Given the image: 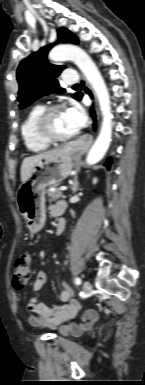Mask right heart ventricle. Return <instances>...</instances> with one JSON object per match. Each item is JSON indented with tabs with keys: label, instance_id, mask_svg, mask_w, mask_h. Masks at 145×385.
I'll use <instances>...</instances> for the list:
<instances>
[{
	"label": "right heart ventricle",
	"instance_id": "right-heart-ventricle-1",
	"mask_svg": "<svg viewBox=\"0 0 145 385\" xmlns=\"http://www.w3.org/2000/svg\"><path fill=\"white\" fill-rule=\"evenodd\" d=\"M44 106L35 105L27 113L21 124V136L26 149L30 152H41L48 148L49 143L42 140L36 132L35 125Z\"/></svg>",
	"mask_w": 145,
	"mask_h": 385
}]
</instances>
